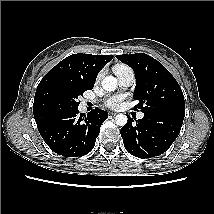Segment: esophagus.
<instances>
[{
	"mask_svg": "<svg viewBox=\"0 0 214 214\" xmlns=\"http://www.w3.org/2000/svg\"><path fill=\"white\" fill-rule=\"evenodd\" d=\"M117 113L116 112H109V115L115 116Z\"/></svg>",
	"mask_w": 214,
	"mask_h": 214,
	"instance_id": "esophagus-1",
	"label": "esophagus"
}]
</instances>
